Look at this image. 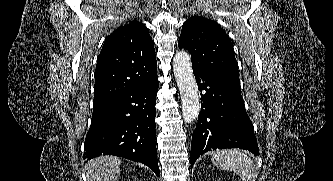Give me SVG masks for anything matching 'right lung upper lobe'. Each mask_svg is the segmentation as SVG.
Returning <instances> with one entry per match:
<instances>
[{
    "label": "right lung upper lobe",
    "instance_id": "right-lung-upper-lobe-1",
    "mask_svg": "<svg viewBox=\"0 0 333 181\" xmlns=\"http://www.w3.org/2000/svg\"><path fill=\"white\" fill-rule=\"evenodd\" d=\"M157 79L152 38L138 21L117 28L105 40L95 70L93 107Z\"/></svg>",
    "mask_w": 333,
    "mask_h": 181
}]
</instances>
